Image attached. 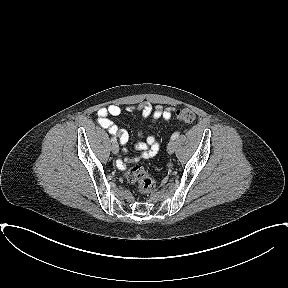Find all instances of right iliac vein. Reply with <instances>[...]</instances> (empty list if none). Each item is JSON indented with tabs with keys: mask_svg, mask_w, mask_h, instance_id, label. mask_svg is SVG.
I'll return each instance as SVG.
<instances>
[{
	"mask_svg": "<svg viewBox=\"0 0 288 288\" xmlns=\"http://www.w3.org/2000/svg\"><path fill=\"white\" fill-rule=\"evenodd\" d=\"M111 151L113 154H118L119 152V145L117 143H113L111 146Z\"/></svg>",
	"mask_w": 288,
	"mask_h": 288,
	"instance_id": "right-iliac-vein-1",
	"label": "right iliac vein"
}]
</instances>
